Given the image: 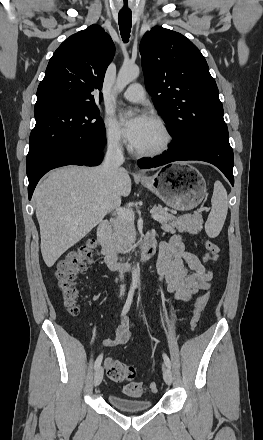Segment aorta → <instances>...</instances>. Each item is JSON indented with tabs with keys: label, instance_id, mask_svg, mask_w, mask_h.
I'll list each match as a JSON object with an SVG mask.
<instances>
[{
	"label": "aorta",
	"instance_id": "obj_1",
	"mask_svg": "<svg viewBox=\"0 0 263 440\" xmlns=\"http://www.w3.org/2000/svg\"><path fill=\"white\" fill-rule=\"evenodd\" d=\"M139 67L135 64H123L116 81V89L121 92L129 83L139 76ZM139 283V267L132 270V285L137 286Z\"/></svg>",
	"mask_w": 263,
	"mask_h": 440
}]
</instances>
